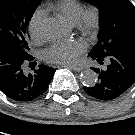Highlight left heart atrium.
Masks as SVG:
<instances>
[{"label": "left heart atrium", "mask_w": 135, "mask_h": 135, "mask_svg": "<svg viewBox=\"0 0 135 135\" xmlns=\"http://www.w3.org/2000/svg\"><path fill=\"white\" fill-rule=\"evenodd\" d=\"M86 50L81 41H58L45 51V57L52 63L72 65L78 62L80 55Z\"/></svg>", "instance_id": "1"}]
</instances>
